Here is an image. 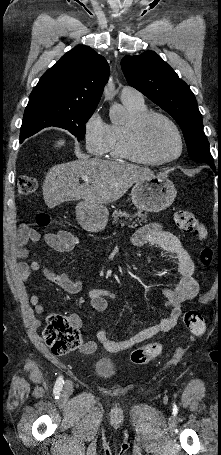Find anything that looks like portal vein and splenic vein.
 Wrapping results in <instances>:
<instances>
[{
	"label": "portal vein and splenic vein",
	"instance_id": "18ae733b",
	"mask_svg": "<svg viewBox=\"0 0 221 455\" xmlns=\"http://www.w3.org/2000/svg\"><path fill=\"white\" fill-rule=\"evenodd\" d=\"M81 177H82V179L85 180V181H88V180H89V176H88V175H82Z\"/></svg>",
	"mask_w": 221,
	"mask_h": 455
}]
</instances>
